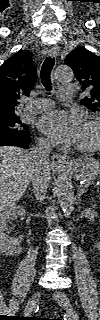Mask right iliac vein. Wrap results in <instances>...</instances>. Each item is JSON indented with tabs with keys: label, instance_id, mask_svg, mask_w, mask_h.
<instances>
[{
	"label": "right iliac vein",
	"instance_id": "right-iliac-vein-1",
	"mask_svg": "<svg viewBox=\"0 0 100 320\" xmlns=\"http://www.w3.org/2000/svg\"><path fill=\"white\" fill-rule=\"evenodd\" d=\"M41 293L40 291H36L28 300L26 309H25V315H30L31 312L35 309L39 299H40Z\"/></svg>",
	"mask_w": 100,
	"mask_h": 320
}]
</instances>
